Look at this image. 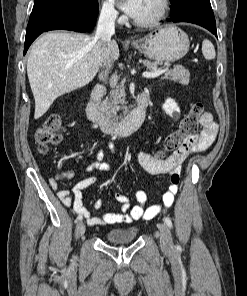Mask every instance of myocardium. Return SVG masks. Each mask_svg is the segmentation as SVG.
<instances>
[{
    "mask_svg": "<svg viewBox=\"0 0 247 296\" xmlns=\"http://www.w3.org/2000/svg\"><path fill=\"white\" fill-rule=\"evenodd\" d=\"M158 10L156 14L145 21L134 19L135 25L138 27L149 28L159 25L166 17L169 10V0H157Z\"/></svg>",
    "mask_w": 247,
    "mask_h": 296,
    "instance_id": "obj_1",
    "label": "myocardium"
}]
</instances>
